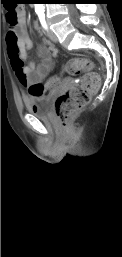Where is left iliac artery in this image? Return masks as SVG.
Returning a JSON list of instances; mask_svg holds the SVG:
<instances>
[{
    "label": "left iliac artery",
    "mask_w": 122,
    "mask_h": 257,
    "mask_svg": "<svg viewBox=\"0 0 122 257\" xmlns=\"http://www.w3.org/2000/svg\"><path fill=\"white\" fill-rule=\"evenodd\" d=\"M38 16H39V20H40V23H41L42 27L46 30L47 29V24H46V21H45L44 13L43 12L39 13Z\"/></svg>",
    "instance_id": "44dca946"
}]
</instances>
